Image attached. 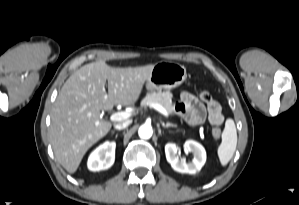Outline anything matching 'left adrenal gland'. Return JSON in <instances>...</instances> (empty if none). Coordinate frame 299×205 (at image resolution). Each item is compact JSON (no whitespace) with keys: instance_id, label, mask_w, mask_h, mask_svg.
I'll use <instances>...</instances> for the list:
<instances>
[{"instance_id":"left-adrenal-gland-1","label":"left adrenal gland","mask_w":299,"mask_h":205,"mask_svg":"<svg viewBox=\"0 0 299 205\" xmlns=\"http://www.w3.org/2000/svg\"><path fill=\"white\" fill-rule=\"evenodd\" d=\"M161 124H162V126L164 127V128H168V127H174V128H176L177 127V125H175V124H172V123H164V122H161Z\"/></svg>"}]
</instances>
